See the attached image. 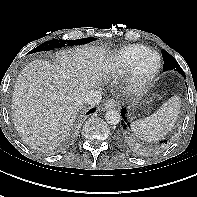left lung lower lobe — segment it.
<instances>
[{"label": "left lung lower lobe", "instance_id": "0a47b994", "mask_svg": "<svg viewBox=\"0 0 197 197\" xmlns=\"http://www.w3.org/2000/svg\"><path fill=\"white\" fill-rule=\"evenodd\" d=\"M185 77V76H184ZM127 110L126 108H122L121 109V115L123 117V120H122V123H121V129L119 131V140L120 142L125 145V146H128V148L138 152V153H143L144 151L146 150H149V149H152V148H155V146H146L145 144L143 143H140L138 141H134V140H131V136H130V124L127 120ZM167 141L164 140V141H161L160 144L162 143H166Z\"/></svg>", "mask_w": 197, "mask_h": 197}]
</instances>
